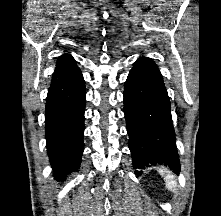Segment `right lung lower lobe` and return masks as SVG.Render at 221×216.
I'll return each mask as SVG.
<instances>
[{
    "instance_id": "98d812e1",
    "label": "right lung lower lobe",
    "mask_w": 221,
    "mask_h": 216,
    "mask_svg": "<svg viewBox=\"0 0 221 216\" xmlns=\"http://www.w3.org/2000/svg\"><path fill=\"white\" fill-rule=\"evenodd\" d=\"M85 83L80 70L51 82L46 98L47 151L55 178L79 168L84 150Z\"/></svg>"
}]
</instances>
